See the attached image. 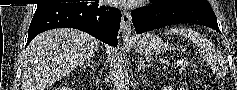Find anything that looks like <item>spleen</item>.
I'll use <instances>...</instances> for the list:
<instances>
[{
    "label": "spleen",
    "mask_w": 237,
    "mask_h": 90,
    "mask_svg": "<svg viewBox=\"0 0 237 90\" xmlns=\"http://www.w3.org/2000/svg\"><path fill=\"white\" fill-rule=\"evenodd\" d=\"M167 36H184V38H190L194 44H197L199 50H201L202 56L207 58L208 56V48L210 46V42H207L204 36L201 34H197V32H193V30H187V28H170V30H166Z\"/></svg>",
    "instance_id": "spleen-1"
}]
</instances>
